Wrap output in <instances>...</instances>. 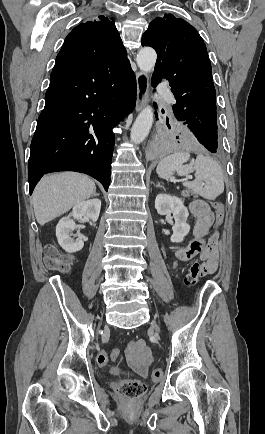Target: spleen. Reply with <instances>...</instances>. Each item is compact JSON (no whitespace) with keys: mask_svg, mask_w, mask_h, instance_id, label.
Instances as JSON below:
<instances>
[{"mask_svg":"<svg viewBox=\"0 0 265 434\" xmlns=\"http://www.w3.org/2000/svg\"><path fill=\"white\" fill-rule=\"evenodd\" d=\"M189 160V152H174L159 162L156 172L163 180H170L174 172H177L178 176H188V174L195 172L196 180L183 182V186L193 190L205 200H215L220 194H223V172L219 164L204 154H198L196 160L193 158L190 162ZM201 182H205V186H201Z\"/></svg>","mask_w":265,"mask_h":434,"instance_id":"spleen-1","label":"spleen"}]
</instances>
